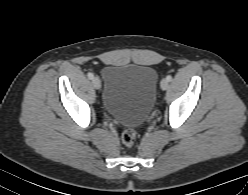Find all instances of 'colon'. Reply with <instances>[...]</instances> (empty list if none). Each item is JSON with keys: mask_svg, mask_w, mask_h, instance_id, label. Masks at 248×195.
<instances>
[{"mask_svg": "<svg viewBox=\"0 0 248 195\" xmlns=\"http://www.w3.org/2000/svg\"><path fill=\"white\" fill-rule=\"evenodd\" d=\"M121 140L125 148L131 149L136 140V131L133 128L124 130Z\"/></svg>", "mask_w": 248, "mask_h": 195, "instance_id": "5ec220e1", "label": "colon"}]
</instances>
